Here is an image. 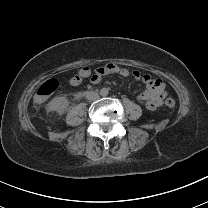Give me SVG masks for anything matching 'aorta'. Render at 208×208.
I'll return each mask as SVG.
<instances>
[{"instance_id": "aorta-1", "label": "aorta", "mask_w": 208, "mask_h": 208, "mask_svg": "<svg viewBox=\"0 0 208 208\" xmlns=\"http://www.w3.org/2000/svg\"><path fill=\"white\" fill-rule=\"evenodd\" d=\"M99 93L103 98H108L110 96V91L106 87L100 88Z\"/></svg>"}]
</instances>
